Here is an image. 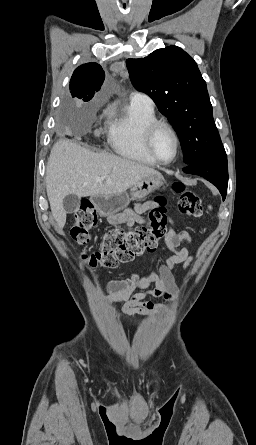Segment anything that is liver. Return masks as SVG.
Here are the masks:
<instances>
[{
    "label": "liver",
    "mask_w": 256,
    "mask_h": 445,
    "mask_svg": "<svg viewBox=\"0 0 256 445\" xmlns=\"http://www.w3.org/2000/svg\"><path fill=\"white\" fill-rule=\"evenodd\" d=\"M152 175L161 174L143 164L95 153L76 142L61 139L54 144L46 166V190L53 217L62 229L66 222L63 199L69 194L78 197L121 194ZM97 177L105 181L96 182Z\"/></svg>",
    "instance_id": "6515ba94"
}]
</instances>
